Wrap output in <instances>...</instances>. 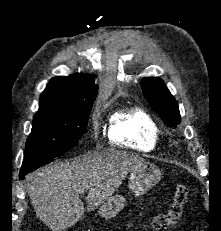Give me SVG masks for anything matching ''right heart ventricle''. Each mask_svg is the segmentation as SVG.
<instances>
[{"mask_svg":"<svg viewBox=\"0 0 221 231\" xmlns=\"http://www.w3.org/2000/svg\"><path fill=\"white\" fill-rule=\"evenodd\" d=\"M159 137L157 123L143 109L120 110L111 117L108 138L114 145L150 152L156 149Z\"/></svg>","mask_w":221,"mask_h":231,"instance_id":"right-heart-ventricle-1","label":"right heart ventricle"}]
</instances>
